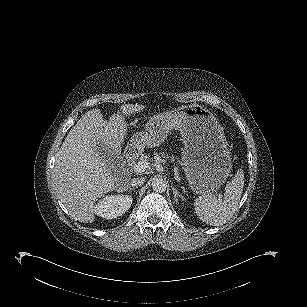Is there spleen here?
I'll use <instances>...</instances> for the list:
<instances>
[{
  "label": "spleen",
  "mask_w": 307,
  "mask_h": 307,
  "mask_svg": "<svg viewBox=\"0 0 307 307\" xmlns=\"http://www.w3.org/2000/svg\"><path fill=\"white\" fill-rule=\"evenodd\" d=\"M244 187V174L240 169L225 187L223 199L211 192L202 193L194 203L196 215L205 223L219 226L229 220L238 208Z\"/></svg>",
  "instance_id": "3e777b00"
}]
</instances>
